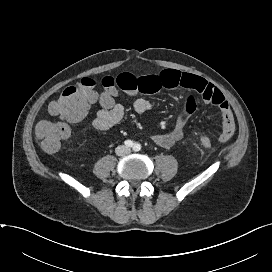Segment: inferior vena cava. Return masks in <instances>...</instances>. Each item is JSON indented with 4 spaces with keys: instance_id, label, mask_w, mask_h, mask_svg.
I'll use <instances>...</instances> for the list:
<instances>
[{
    "instance_id": "inferior-vena-cava-1",
    "label": "inferior vena cava",
    "mask_w": 272,
    "mask_h": 272,
    "mask_svg": "<svg viewBox=\"0 0 272 272\" xmlns=\"http://www.w3.org/2000/svg\"><path fill=\"white\" fill-rule=\"evenodd\" d=\"M128 153H130V148H128L126 146H120L117 150L118 155H124V154H128Z\"/></svg>"
}]
</instances>
